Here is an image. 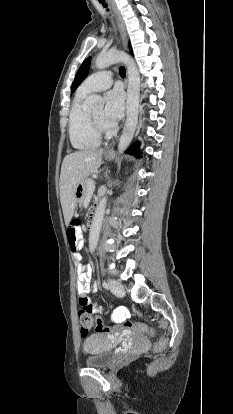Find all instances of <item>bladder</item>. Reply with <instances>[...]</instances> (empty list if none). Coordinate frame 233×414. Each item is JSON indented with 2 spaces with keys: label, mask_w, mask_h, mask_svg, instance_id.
<instances>
[{
  "label": "bladder",
  "mask_w": 233,
  "mask_h": 414,
  "mask_svg": "<svg viewBox=\"0 0 233 414\" xmlns=\"http://www.w3.org/2000/svg\"><path fill=\"white\" fill-rule=\"evenodd\" d=\"M84 349L88 353L85 365L90 368H107L115 359L109 339L100 334L90 335L84 343Z\"/></svg>",
  "instance_id": "1"
}]
</instances>
